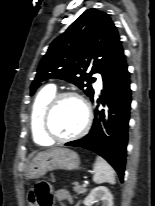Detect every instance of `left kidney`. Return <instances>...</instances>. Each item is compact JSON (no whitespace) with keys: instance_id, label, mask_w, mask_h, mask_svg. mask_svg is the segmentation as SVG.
<instances>
[{"instance_id":"1","label":"left kidney","mask_w":155,"mask_h":206,"mask_svg":"<svg viewBox=\"0 0 155 206\" xmlns=\"http://www.w3.org/2000/svg\"><path fill=\"white\" fill-rule=\"evenodd\" d=\"M95 200H100L102 202V206H113V196L107 187L99 186L92 189L84 200V205L91 206Z\"/></svg>"}]
</instances>
